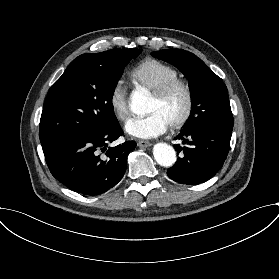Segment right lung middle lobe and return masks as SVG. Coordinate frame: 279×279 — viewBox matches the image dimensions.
<instances>
[{"label": "right lung middle lobe", "mask_w": 279, "mask_h": 279, "mask_svg": "<svg viewBox=\"0 0 279 279\" xmlns=\"http://www.w3.org/2000/svg\"><path fill=\"white\" fill-rule=\"evenodd\" d=\"M141 49H112L74 59L44 102L39 137L43 152L68 139L118 123L112 97L123 68Z\"/></svg>", "instance_id": "obj_1"}]
</instances>
